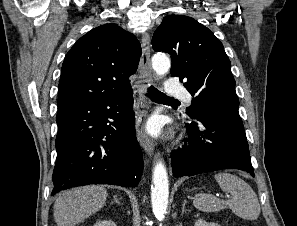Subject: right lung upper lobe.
<instances>
[{"mask_svg": "<svg viewBox=\"0 0 297 226\" xmlns=\"http://www.w3.org/2000/svg\"><path fill=\"white\" fill-rule=\"evenodd\" d=\"M140 55L139 41L118 25L109 23L92 29L65 56L58 106L131 92L129 77L136 72Z\"/></svg>", "mask_w": 297, "mask_h": 226, "instance_id": "right-lung-upper-lobe-1", "label": "right lung upper lobe"}]
</instances>
